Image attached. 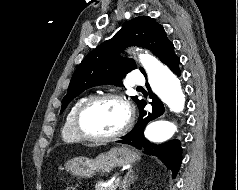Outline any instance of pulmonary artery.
<instances>
[{"mask_svg": "<svg viewBox=\"0 0 238 190\" xmlns=\"http://www.w3.org/2000/svg\"><path fill=\"white\" fill-rule=\"evenodd\" d=\"M144 78L143 76L137 72V71H133L130 74V85L131 86H142L144 84Z\"/></svg>", "mask_w": 238, "mask_h": 190, "instance_id": "e3ab8cb5", "label": "pulmonary artery"}]
</instances>
